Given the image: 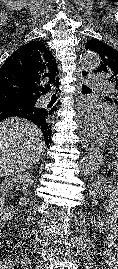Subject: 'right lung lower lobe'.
<instances>
[{
  "instance_id": "98d812e1",
  "label": "right lung lower lobe",
  "mask_w": 118,
  "mask_h": 269,
  "mask_svg": "<svg viewBox=\"0 0 118 269\" xmlns=\"http://www.w3.org/2000/svg\"><path fill=\"white\" fill-rule=\"evenodd\" d=\"M37 107L15 98L0 100V122L8 117L19 116L29 119L36 112ZM47 143L49 140L46 141Z\"/></svg>"
}]
</instances>
